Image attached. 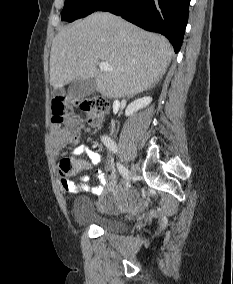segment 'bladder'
I'll list each match as a JSON object with an SVG mask.
<instances>
[{
  "mask_svg": "<svg viewBox=\"0 0 233 284\" xmlns=\"http://www.w3.org/2000/svg\"><path fill=\"white\" fill-rule=\"evenodd\" d=\"M119 202H130L134 200L131 192L116 194L112 197ZM72 214L74 221L82 226H96L106 233L119 234L125 231V223L114 217L99 215L90 199L84 195L77 196L72 203Z\"/></svg>",
  "mask_w": 233,
  "mask_h": 284,
  "instance_id": "31cf9c89",
  "label": "bladder"
}]
</instances>
